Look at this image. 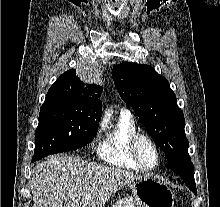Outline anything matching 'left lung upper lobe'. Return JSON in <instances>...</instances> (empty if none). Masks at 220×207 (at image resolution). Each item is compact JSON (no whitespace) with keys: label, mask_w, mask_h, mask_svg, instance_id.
Segmentation results:
<instances>
[{"label":"left lung upper lobe","mask_w":220,"mask_h":207,"mask_svg":"<svg viewBox=\"0 0 220 207\" xmlns=\"http://www.w3.org/2000/svg\"><path fill=\"white\" fill-rule=\"evenodd\" d=\"M112 77L121 98L134 109L166 159L190 158L184 115L167 79L150 65L131 62L116 65Z\"/></svg>","instance_id":"left-lung-upper-lobe-1"}]
</instances>
